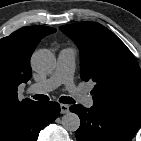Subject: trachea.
<instances>
[{
    "label": "trachea",
    "instance_id": "obj_1",
    "mask_svg": "<svg viewBox=\"0 0 141 141\" xmlns=\"http://www.w3.org/2000/svg\"><path fill=\"white\" fill-rule=\"evenodd\" d=\"M33 98H34L35 100H39V101H47V100H49V97H48V96L42 95V94H39V95L36 94V95L33 96ZM59 101H60L61 103H64V104H73V103H75V101H74L73 98H71V97H66V96L60 97Z\"/></svg>",
    "mask_w": 141,
    "mask_h": 141
}]
</instances>
